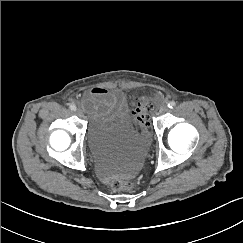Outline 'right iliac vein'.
<instances>
[{"label":"right iliac vein","mask_w":243,"mask_h":243,"mask_svg":"<svg viewBox=\"0 0 243 243\" xmlns=\"http://www.w3.org/2000/svg\"><path fill=\"white\" fill-rule=\"evenodd\" d=\"M76 114L79 116V117H83V111L81 109H77L76 110Z\"/></svg>","instance_id":"1"}]
</instances>
